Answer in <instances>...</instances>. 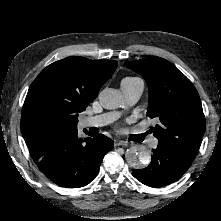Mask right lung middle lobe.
I'll return each mask as SVG.
<instances>
[{
	"label": "right lung middle lobe",
	"instance_id": "1",
	"mask_svg": "<svg viewBox=\"0 0 221 221\" xmlns=\"http://www.w3.org/2000/svg\"><path fill=\"white\" fill-rule=\"evenodd\" d=\"M70 121L72 123L73 130H76L78 122V114L70 116Z\"/></svg>",
	"mask_w": 221,
	"mask_h": 221
}]
</instances>
